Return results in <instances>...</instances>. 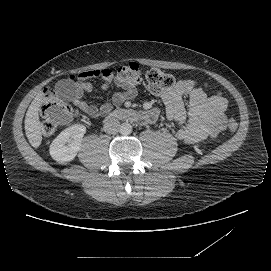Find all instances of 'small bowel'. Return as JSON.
<instances>
[{
  "label": "small bowel",
  "instance_id": "1",
  "mask_svg": "<svg viewBox=\"0 0 271 271\" xmlns=\"http://www.w3.org/2000/svg\"><path fill=\"white\" fill-rule=\"evenodd\" d=\"M75 90L72 102L91 118L98 119L107 115L113 106H119L134 99L137 90L134 85L121 80L110 69L84 71L73 77ZM101 78V90L113 87L119 91L112 94L100 108L82 100L85 92H91L95 86L91 79ZM188 99L185 108L184 98ZM166 108V118L176 127V137L186 142H197L205 138H215L226 127L227 101L218 95H207L204 90L191 79L179 80L176 85L162 94ZM144 120L154 122L159 117L157 109L143 114Z\"/></svg>",
  "mask_w": 271,
  "mask_h": 271
}]
</instances>
